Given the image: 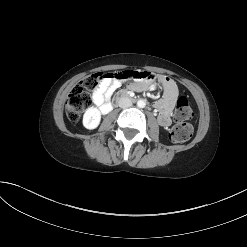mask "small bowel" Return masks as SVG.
Listing matches in <instances>:
<instances>
[{
	"instance_id": "obj_1",
	"label": "small bowel",
	"mask_w": 247,
	"mask_h": 247,
	"mask_svg": "<svg viewBox=\"0 0 247 247\" xmlns=\"http://www.w3.org/2000/svg\"><path fill=\"white\" fill-rule=\"evenodd\" d=\"M159 81L163 87V98L155 103L159 110L158 122L163 127H169L172 123L171 112L179 95L176 83L166 77L158 76L157 73L143 70L112 71L106 76L93 93V103L102 113H108L112 109L110 102L114 92L122 83L130 82V89L143 91L154 89L155 83Z\"/></svg>"
}]
</instances>
